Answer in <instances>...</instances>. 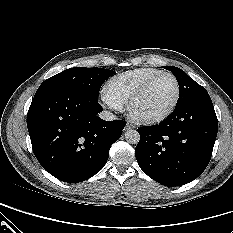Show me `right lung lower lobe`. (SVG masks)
I'll list each match as a JSON object with an SVG mask.
<instances>
[{
  "label": "right lung lower lobe",
  "mask_w": 233,
  "mask_h": 233,
  "mask_svg": "<svg viewBox=\"0 0 233 233\" xmlns=\"http://www.w3.org/2000/svg\"><path fill=\"white\" fill-rule=\"evenodd\" d=\"M102 110L98 99L67 88L32 101L27 127L33 152L47 172L78 183L104 167L126 123L102 120L97 116Z\"/></svg>",
  "instance_id": "98d812e1"
}]
</instances>
